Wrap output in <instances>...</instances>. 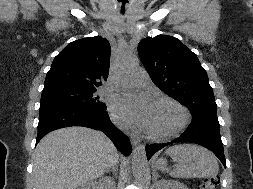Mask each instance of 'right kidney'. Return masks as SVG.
<instances>
[{
  "instance_id": "right-kidney-1",
  "label": "right kidney",
  "mask_w": 253,
  "mask_h": 189,
  "mask_svg": "<svg viewBox=\"0 0 253 189\" xmlns=\"http://www.w3.org/2000/svg\"><path fill=\"white\" fill-rule=\"evenodd\" d=\"M114 183L109 178H102L98 182L91 181L81 185L78 189H113Z\"/></svg>"
}]
</instances>
